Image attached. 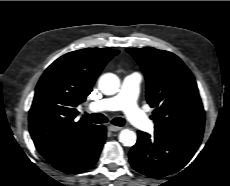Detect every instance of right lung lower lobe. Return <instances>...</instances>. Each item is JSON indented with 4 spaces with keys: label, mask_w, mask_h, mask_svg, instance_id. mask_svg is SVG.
<instances>
[{
    "label": "right lung lower lobe",
    "mask_w": 230,
    "mask_h": 186,
    "mask_svg": "<svg viewBox=\"0 0 230 186\" xmlns=\"http://www.w3.org/2000/svg\"><path fill=\"white\" fill-rule=\"evenodd\" d=\"M105 138V126H94L91 131L75 142L62 156L49 163L65 173L85 171L96 163Z\"/></svg>",
    "instance_id": "right-lung-lower-lobe-1"
}]
</instances>
